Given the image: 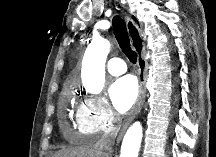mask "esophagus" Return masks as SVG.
<instances>
[{
    "label": "esophagus",
    "mask_w": 216,
    "mask_h": 157,
    "mask_svg": "<svg viewBox=\"0 0 216 157\" xmlns=\"http://www.w3.org/2000/svg\"><path fill=\"white\" fill-rule=\"evenodd\" d=\"M126 25H127V29H128V33L130 35L131 41L133 43L134 48L136 49V45L134 44V40H133V36H134V30L138 31V27L137 25L133 22V20L126 16ZM144 50V46L142 45V49L141 51H137L138 54V66H139V71H140V85H139V95L137 97V100L131 110V115L129 116V118L127 119V121L125 122V124L123 125L118 138H117V142H119L121 140V138L123 137V134L125 133L127 127L129 126V124L131 123V121L135 118V116L139 113V111L141 110V107L143 105L144 102V98H145V80H146V66L144 65V61L142 58V51Z\"/></svg>",
    "instance_id": "obj_1"
}]
</instances>
